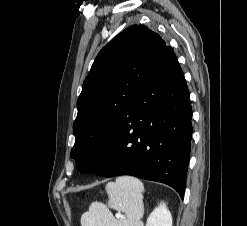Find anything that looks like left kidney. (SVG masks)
Instances as JSON below:
<instances>
[{"instance_id":"obj_1","label":"left kidney","mask_w":247,"mask_h":226,"mask_svg":"<svg viewBox=\"0 0 247 226\" xmlns=\"http://www.w3.org/2000/svg\"><path fill=\"white\" fill-rule=\"evenodd\" d=\"M146 226H172V215L165 203H160L149 215Z\"/></svg>"}]
</instances>
